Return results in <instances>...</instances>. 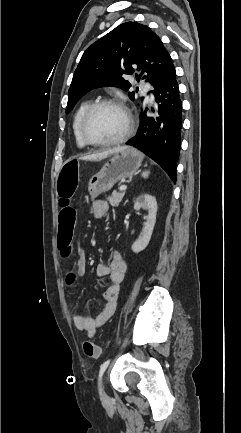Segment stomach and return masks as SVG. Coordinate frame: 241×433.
<instances>
[{
    "label": "stomach",
    "mask_w": 241,
    "mask_h": 433,
    "mask_svg": "<svg viewBox=\"0 0 241 433\" xmlns=\"http://www.w3.org/2000/svg\"><path fill=\"white\" fill-rule=\"evenodd\" d=\"M142 163V154L134 148H126L114 154L101 170L89 181L91 199L109 191L118 181L131 177Z\"/></svg>",
    "instance_id": "obj_1"
}]
</instances>
